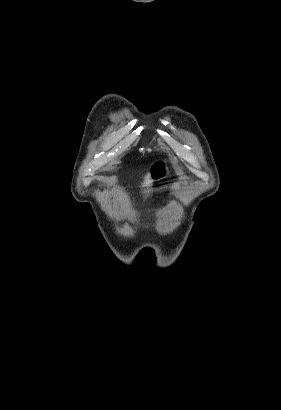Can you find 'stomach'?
Listing matches in <instances>:
<instances>
[{
  "instance_id": "stomach-1",
  "label": "stomach",
  "mask_w": 281,
  "mask_h": 410,
  "mask_svg": "<svg viewBox=\"0 0 281 410\" xmlns=\"http://www.w3.org/2000/svg\"><path fill=\"white\" fill-rule=\"evenodd\" d=\"M170 174L168 163L164 160L155 161L150 167V179L152 182L160 181Z\"/></svg>"
}]
</instances>
